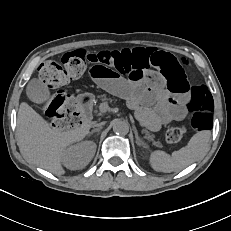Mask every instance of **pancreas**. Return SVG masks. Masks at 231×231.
<instances>
[{
	"instance_id": "obj_1",
	"label": "pancreas",
	"mask_w": 231,
	"mask_h": 231,
	"mask_svg": "<svg viewBox=\"0 0 231 231\" xmlns=\"http://www.w3.org/2000/svg\"><path fill=\"white\" fill-rule=\"evenodd\" d=\"M100 100L102 101V103H111L113 100L111 98L106 97L105 95H102ZM142 132L145 134V138L149 141H152V143L157 146L160 147L161 144L159 141H155V136L153 134H151L147 129H143Z\"/></svg>"
}]
</instances>
